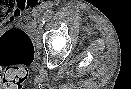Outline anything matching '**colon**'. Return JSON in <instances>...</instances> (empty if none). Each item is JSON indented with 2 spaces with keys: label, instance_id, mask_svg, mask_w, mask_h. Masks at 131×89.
<instances>
[{
  "label": "colon",
  "instance_id": "colon-1",
  "mask_svg": "<svg viewBox=\"0 0 131 89\" xmlns=\"http://www.w3.org/2000/svg\"><path fill=\"white\" fill-rule=\"evenodd\" d=\"M32 5L15 0H0V24L19 16ZM25 16L22 22H29ZM34 45L26 32L21 29L6 31L0 36V82L6 88L18 89L27 78V66L33 61Z\"/></svg>",
  "mask_w": 131,
  "mask_h": 89
}]
</instances>
